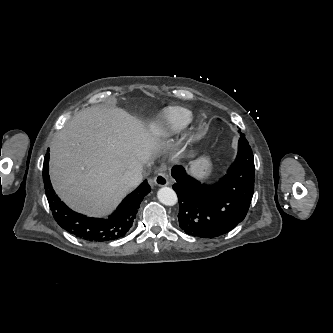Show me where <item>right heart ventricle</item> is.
<instances>
[{"label":"right heart ventricle","mask_w":333,"mask_h":333,"mask_svg":"<svg viewBox=\"0 0 333 333\" xmlns=\"http://www.w3.org/2000/svg\"><path fill=\"white\" fill-rule=\"evenodd\" d=\"M193 120V113L183 107L168 108L163 114L161 131L166 134L180 132Z\"/></svg>","instance_id":"e07e8e85"}]
</instances>
